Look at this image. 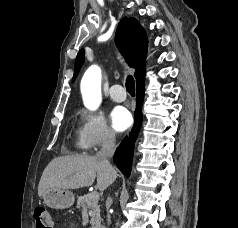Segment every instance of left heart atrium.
<instances>
[{
    "mask_svg": "<svg viewBox=\"0 0 238 228\" xmlns=\"http://www.w3.org/2000/svg\"><path fill=\"white\" fill-rule=\"evenodd\" d=\"M110 119L113 128L119 132L127 129L132 123L131 114L126 108L121 106L116 107L112 110Z\"/></svg>",
    "mask_w": 238,
    "mask_h": 228,
    "instance_id": "obj_1",
    "label": "left heart atrium"
}]
</instances>
